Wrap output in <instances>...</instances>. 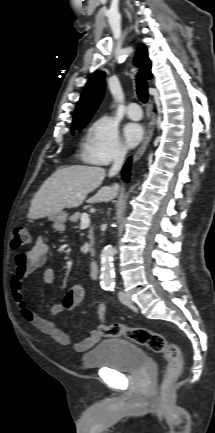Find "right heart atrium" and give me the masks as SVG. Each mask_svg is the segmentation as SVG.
Masks as SVG:
<instances>
[{
    "label": "right heart atrium",
    "instance_id": "d8ad5b80",
    "mask_svg": "<svg viewBox=\"0 0 215 433\" xmlns=\"http://www.w3.org/2000/svg\"><path fill=\"white\" fill-rule=\"evenodd\" d=\"M126 148L118 126L108 116L97 118L90 126L83 146L84 159L94 165L105 166L123 158Z\"/></svg>",
    "mask_w": 215,
    "mask_h": 433
}]
</instances>
